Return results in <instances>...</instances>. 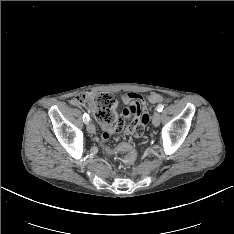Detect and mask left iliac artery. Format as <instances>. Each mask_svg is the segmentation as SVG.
<instances>
[{
  "label": "left iliac artery",
  "instance_id": "left-iliac-artery-1",
  "mask_svg": "<svg viewBox=\"0 0 234 234\" xmlns=\"http://www.w3.org/2000/svg\"><path fill=\"white\" fill-rule=\"evenodd\" d=\"M163 105L162 104H159L157 107H156V109H157V111L158 112H161L162 110H163Z\"/></svg>",
  "mask_w": 234,
  "mask_h": 234
}]
</instances>
